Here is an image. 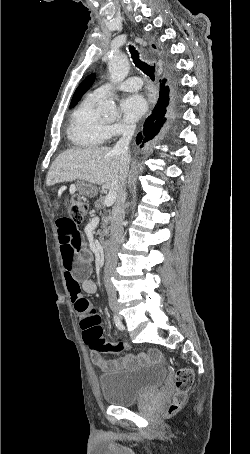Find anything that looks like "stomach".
Returning a JSON list of instances; mask_svg holds the SVG:
<instances>
[{
	"instance_id": "1",
	"label": "stomach",
	"mask_w": 250,
	"mask_h": 454,
	"mask_svg": "<svg viewBox=\"0 0 250 454\" xmlns=\"http://www.w3.org/2000/svg\"><path fill=\"white\" fill-rule=\"evenodd\" d=\"M78 191L80 194L88 196V197H93L97 193L96 187H94L91 184L85 183V182H80L78 185Z\"/></svg>"
}]
</instances>
